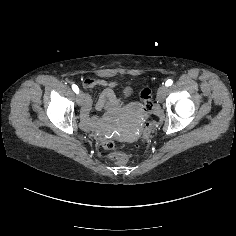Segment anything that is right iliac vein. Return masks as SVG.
Listing matches in <instances>:
<instances>
[{
	"mask_svg": "<svg viewBox=\"0 0 236 236\" xmlns=\"http://www.w3.org/2000/svg\"><path fill=\"white\" fill-rule=\"evenodd\" d=\"M84 100H85V94L83 92H80L76 98L77 104L79 106H82L84 104Z\"/></svg>",
	"mask_w": 236,
	"mask_h": 236,
	"instance_id": "right-iliac-vein-1",
	"label": "right iliac vein"
}]
</instances>
